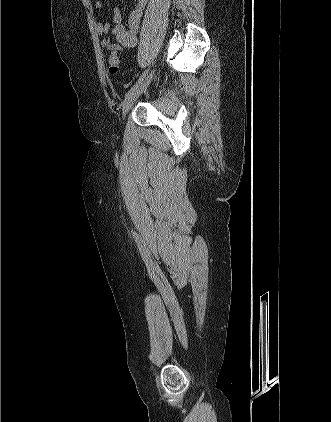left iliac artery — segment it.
<instances>
[{
	"mask_svg": "<svg viewBox=\"0 0 331 422\" xmlns=\"http://www.w3.org/2000/svg\"><path fill=\"white\" fill-rule=\"evenodd\" d=\"M148 69L145 70L142 75L139 77V79L135 82V84L130 88V90L126 93V97L135 89L139 86V84L143 81L144 77L147 75L148 73Z\"/></svg>",
	"mask_w": 331,
	"mask_h": 422,
	"instance_id": "left-iliac-artery-1",
	"label": "left iliac artery"
}]
</instances>
